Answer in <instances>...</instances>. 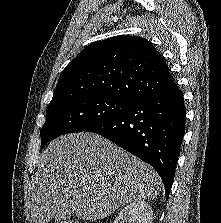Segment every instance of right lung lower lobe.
<instances>
[{"mask_svg": "<svg viewBox=\"0 0 221 223\" xmlns=\"http://www.w3.org/2000/svg\"><path fill=\"white\" fill-rule=\"evenodd\" d=\"M185 111L182 91L175 86L133 102L86 131L111 140L153 166L168 198L185 132Z\"/></svg>", "mask_w": 221, "mask_h": 223, "instance_id": "right-lung-lower-lobe-1", "label": "right lung lower lobe"}]
</instances>
